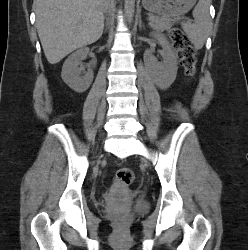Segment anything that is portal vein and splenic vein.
I'll use <instances>...</instances> for the list:
<instances>
[{
	"label": "portal vein and splenic vein",
	"instance_id": "portal-vein-and-splenic-vein-1",
	"mask_svg": "<svg viewBox=\"0 0 248 250\" xmlns=\"http://www.w3.org/2000/svg\"><path fill=\"white\" fill-rule=\"evenodd\" d=\"M156 18L157 17H155V16H150L148 19H149V21H154ZM191 22H192V20L187 21V23H191Z\"/></svg>",
	"mask_w": 248,
	"mask_h": 250
}]
</instances>
